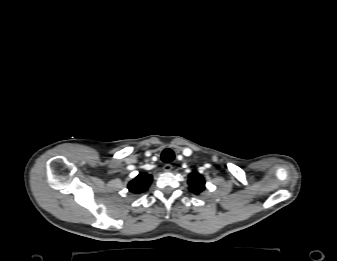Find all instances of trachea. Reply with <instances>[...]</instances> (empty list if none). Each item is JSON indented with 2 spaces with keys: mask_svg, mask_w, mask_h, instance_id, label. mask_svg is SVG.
<instances>
[{
  "mask_svg": "<svg viewBox=\"0 0 337 261\" xmlns=\"http://www.w3.org/2000/svg\"><path fill=\"white\" fill-rule=\"evenodd\" d=\"M175 154L173 150L166 148L161 154V159L164 163H170L174 160Z\"/></svg>",
  "mask_w": 337,
  "mask_h": 261,
  "instance_id": "3493384b",
  "label": "trachea"
}]
</instances>
